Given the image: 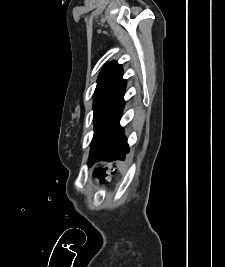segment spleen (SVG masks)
Masks as SVG:
<instances>
[{
    "instance_id": "spleen-1",
    "label": "spleen",
    "mask_w": 225,
    "mask_h": 267,
    "mask_svg": "<svg viewBox=\"0 0 225 267\" xmlns=\"http://www.w3.org/2000/svg\"><path fill=\"white\" fill-rule=\"evenodd\" d=\"M118 168H119V170L122 172V173H124V172H126V165H125V163H118Z\"/></svg>"
}]
</instances>
